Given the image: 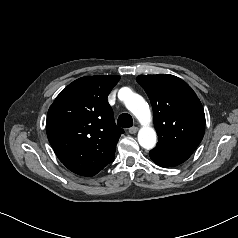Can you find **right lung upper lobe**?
I'll return each instance as SVG.
<instances>
[{"instance_id":"1","label":"right lung upper lobe","mask_w":238,"mask_h":238,"mask_svg":"<svg viewBox=\"0 0 238 238\" xmlns=\"http://www.w3.org/2000/svg\"><path fill=\"white\" fill-rule=\"evenodd\" d=\"M120 76L79 78L62 90L47 114L46 131L59 160L72 172L93 176L111 163L123 129L107 96Z\"/></svg>"}]
</instances>
